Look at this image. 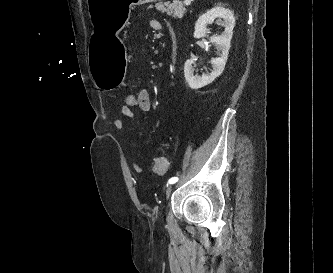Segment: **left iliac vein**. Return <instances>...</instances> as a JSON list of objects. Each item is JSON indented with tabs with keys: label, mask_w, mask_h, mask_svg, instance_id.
<instances>
[{
	"label": "left iliac vein",
	"mask_w": 333,
	"mask_h": 273,
	"mask_svg": "<svg viewBox=\"0 0 333 273\" xmlns=\"http://www.w3.org/2000/svg\"><path fill=\"white\" fill-rule=\"evenodd\" d=\"M171 192H172V186L170 185L166 188V191H165V195H166L167 199L170 197Z\"/></svg>",
	"instance_id": "obj_1"
}]
</instances>
